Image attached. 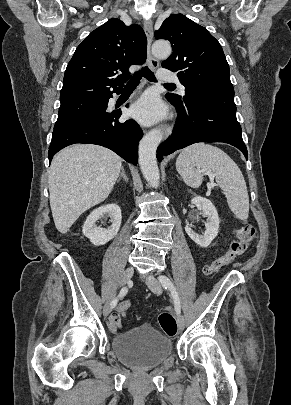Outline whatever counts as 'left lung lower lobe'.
Listing matches in <instances>:
<instances>
[{
  "label": "left lung lower lobe",
  "mask_w": 291,
  "mask_h": 405,
  "mask_svg": "<svg viewBox=\"0 0 291 405\" xmlns=\"http://www.w3.org/2000/svg\"><path fill=\"white\" fill-rule=\"evenodd\" d=\"M166 98L175 105L179 116L175 131L157 149L161 161L176 150L198 142H224L248 153L236 118L234 89H193L183 101Z\"/></svg>",
  "instance_id": "0a47b994"
}]
</instances>
